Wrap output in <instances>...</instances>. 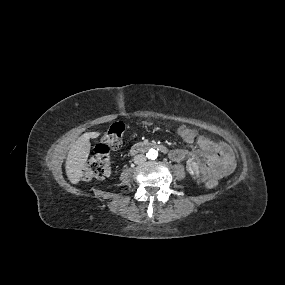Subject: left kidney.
Wrapping results in <instances>:
<instances>
[{"instance_id":"1","label":"left kidney","mask_w":285,"mask_h":285,"mask_svg":"<svg viewBox=\"0 0 285 285\" xmlns=\"http://www.w3.org/2000/svg\"><path fill=\"white\" fill-rule=\"evenodd\" d=\"M190 171L193 173L194 172V170H193V168L190 166Z\"/></svg>"}]
</instances>
